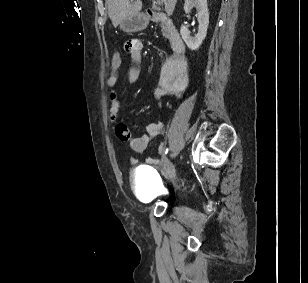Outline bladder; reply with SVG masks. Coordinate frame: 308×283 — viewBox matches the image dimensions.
<instances>
[{"mask_svg": "<svg viewBox=\"0 0 308 283\" xmlns=\"http://www.w3.org/2000/svg\"><path fill=\"white\" fill-rule=\"evenodd\" d=\"M131 185L144 202H153L165 194V188L156 170L146 166L137 167L131 172Z\"/></svg>", "mask_w": 308, "mask_h": 283, "instance_id": "1", "label": "bladder"}]
</instances>
